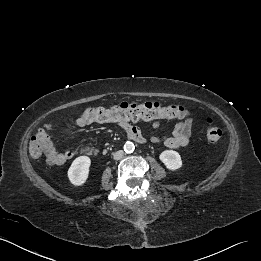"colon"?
<instances>
[{
  "instance_id": "5ec220e1",
  "label": "colon",
  "mask_w": 261,
  "mask_h": 261,
  "mask_svg": "<svg viewBox=\"0 0 261 261\" xmlns=\"http://www.w3.org/2000/svg\"><path fill=\"white\" fill-rule=\"evenodd\" d=\"M188 111L180 105L163 106L158 102L144 104L123 103L111 108L92 107L86 109L81 118L87 122H116V121H139L156 119L186 118ZM207 139L215 144L221 138V129L214 124L212 119H207ZM47 133L40 130L34 134L29 144V152L33 157H40L44 152Z\"/></svg>"
}]
</instances>
